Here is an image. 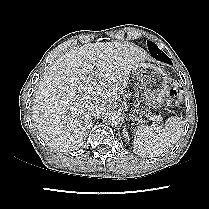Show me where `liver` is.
<instances>
[{
    "label": "liver",
    "mask_w": 209,
    "mask_h": 209,
    "mask_svg": "<svg viewBox=\"0 0 209 209\" xmlns=\"http://www.w3.org/2000/svg\"><path fill=\"white\" fill-rule=\"evenodd\" d=\"M138 47L89 43L56 60L41 80L32 106L39 135L51 148L70 152L85 142L91 110L116 101L125 92L132 70L144 61ZM98 80V85L91 86Z\"/></svg>",
    "instance_id": "obj_1"
}]
</instances>
